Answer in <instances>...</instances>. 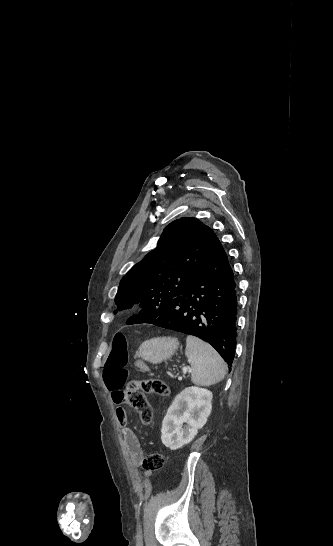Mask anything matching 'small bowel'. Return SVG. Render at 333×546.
<instances>
[{"mask_svg": "<svg viewBox=\"0 0 333 546\" xmlns=\"http://www.w3.org/2000/svg\"><path fill=\"white\" fill-rule=\"evenodd\" d=\"M133 368L134 371L139 374H145L149 371L147 369V362L142 358H139L134 362ZM122 392V390L110 391V394L112 401L118 406L117 418L120 421L119 425L125 427L129 423L125 421L127 416L126 410L121 407L124 403L122 400ZM123 439L130 463L134 466L140 465L143 460V451L137 436L132 430L125 428L123 430Z\"/></svg>", "mask_w": 333, "mask_h": 546, "instance_id": "c3829d8e", "label": "small bowel"}]
</instances>
